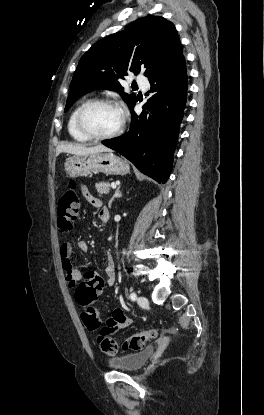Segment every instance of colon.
<instances>
[{
    "label": "colon",
    "instance_id": "colon-1",
    "mask_svg": "<svg viewBox=\"0 0 264 415\" xmlns=\"http://www.w3.org/2000/svg\"><path fill=\"white\" fill-rule=\"evenodd\" d=\"M80 209V201L76 191L72 188L63 193L59 207V228L65 235H72L75 231V222ZM102 287V280L94 274H88L76 290V301L82 308V318L87 330L97 332V341L101 351L106 355H115L119 349L138 351L146 346L147 342L156 337L154 329H148L131 336L120 346L118 342L102 327L101 314L94 305L98 292Z\"/></svg>",
    "mask_w": 264,
    "mask_h": 415
}]
</instances>
